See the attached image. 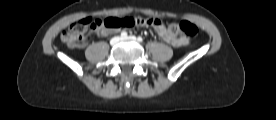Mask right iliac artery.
<instances>
[{
  "label": "right iliac artery",
  "mask_w": 276,
  "mask_h": 120,
  "mask_svg": "<svg viewBox=\"0 0 276 120\" xmlns=\"http://www.w3.org/2000/svg\"><path fill=\"white\" fill-rule=\"evenodd\" d=\"M121 37L126 38L127 37V32H125V31L121 32Z\"/></svg>",
  "instance_id": "obj_1"
}]
</instances>
